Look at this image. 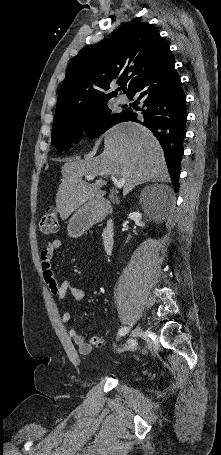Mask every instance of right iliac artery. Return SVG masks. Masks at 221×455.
<instances>
[{"instance_id":"82829eb1","label":"right iliac artery","mask_w":221,"mask_h":455,"mask_svg":"<svg viewBox=\"0 0 221 455\" xmlns=\"http://www.w3.org/2000/svg\"><path fill=\"white\" fill-rule=\"evenodd\" d=\"M128 332H129V328H128V327H122V328L119 330L118 334H119L120 336H123V335L127 334Z\"/></svg>"}]
</instances>
